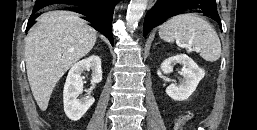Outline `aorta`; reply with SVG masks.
Wrapping results in <instances>:
<instances>
[{
  "mask_svg": "<svg viewBox=\"0 0 257 130\" xmlns=\"http://www.w3.org/2000/svg\"><path fill=\"white\" fill-rule=\"evenodd\" d=\"M147 0H131L128 5L126 22L130 29H135L147 7Z\"/></svg>",
  "mask_w": 257,
  "mask_h": 130,
  "instance_id": "1",
  "label": "aorta"
}]
</instances>
